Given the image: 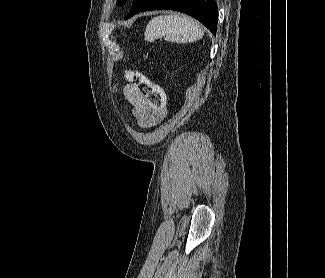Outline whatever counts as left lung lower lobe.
I'll return each mask as SVG.
<instances>
[{
  "label": "left lung lower lobe",
  "instance_id": "1",
  "mask_svg": "<svg viewBox=\"0 0 325 278\" xmlns=\"http://www.w3.org/2000/svg\"><path fill=\"white\" fill-rule=\"evenodd\" d=\"M147 10H176L186 13L216 34L218 7L215 0H133L125 19Z\"/></svg>",
  "mask_w": 325,
  "mask_h": 278
}]
</instances>
